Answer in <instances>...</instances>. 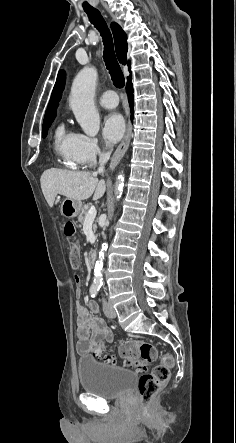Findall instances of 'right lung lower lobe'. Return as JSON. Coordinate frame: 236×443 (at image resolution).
Wrapping results in <instances>:
<instances>
[{
    "mask_svg": "<svg viewBox=\"0 0 236 443\" xmlns=\"http://www.w3.org/2000/svg\"><path fill=\"white\" fill-rule=\"evenodd\" d=\"M131 80H132V76L130 74V76L127 77L126 89H127V93H128L130 107L132 109V113H131V120H132L133 119L134 99H133V86H132Z\"/></svg>",
    "mask_w": 236,
    "mask_h": 443,
    "instance_id": "98d812e1",
    "label": "right lung lower lobe"
}]
</instances>
